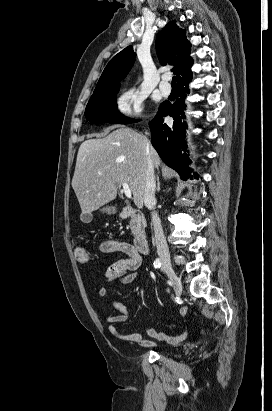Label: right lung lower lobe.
I'll return each instance as SVG.
<instances>
[{
	"instance_id": "98d812e1",
	"label": "right lung lower lobe",
	"mask_w": 272,
	"mask_h": 411,
	"mask_svg": "<svg viewBox=\"0 0 272 411\" xmlns=\"http://www.w3.org/2000/svg\"><path fill=\"white\" fill-rule=\"evenodd\" d=\"M178 84V98L171 105L167 102L161 104L160 110L150 123L152 133V145L158 152L161 159L171 168L179 173L182 179L186 180L191 175V169L188 168L189 157L183 153L185 144V127L186 123L185 98L190 93L189 83ZM170 115L173 117L172 124H166L163 117ZM197 179V174H194ZM191 179L193 176L190 177Z\"/></svg>"
}]
</instances>
